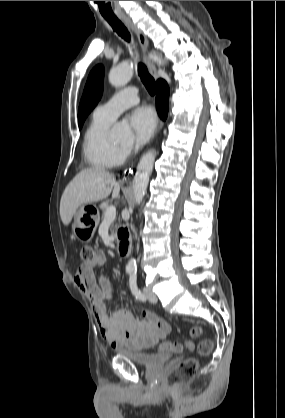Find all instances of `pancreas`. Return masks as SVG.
<instances>
[{
	"instance_id": "pancreas-1",
	"label": "pancreas",
	"mask_w": 285,
	"mask_h": 418,
	"mask_svg": "<svg viewBox=\"0 0 285 418\" xmlns=\"http://www.w3.org/2000/svg\"><path fill=\"white\" fill-rule=\"evenodd\" d=\"M109 206L108 205H104L101 209H102V211H103V217L105 216V212H106V210H107V208H108ZM120 225H112L111 226V228H110V232H111V234L112 235H114V233H115V231H116V229L119 227Z\"/></svg>"
}]
</instances>
